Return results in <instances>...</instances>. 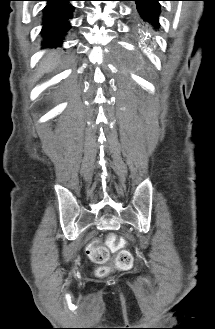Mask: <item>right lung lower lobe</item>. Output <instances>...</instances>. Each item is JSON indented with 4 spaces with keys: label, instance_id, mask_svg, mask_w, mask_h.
I'll return each instance as SVG.
<instances>
[{
    "label": "right lung lower lobe",
    "instance_id": "1",
    "mask_svg": "<svg viewBox=\"0 0 215 329\" xmlns=\"http://www.w3.org/2000/svg\"><path fill=\"white\" fill-rule=\"evenodd\" d=\"M44 1H47V5L43 9L41 35L44 42L50 46H60L67 31L71 28L70 20L74 11L71 1L76 0Z\"/></svg>",
    "mask_w": 215,
    "mask_h": 329
}]
</instances>
